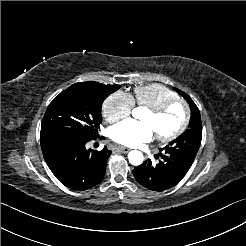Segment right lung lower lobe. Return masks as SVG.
Segmentation results:
<instances>
[{"mask_svg":"<svg viewBox=\"0 0 246 246\" xmlns=\"http://www.w3.org/2000/svg\"><path fill=\"white\" fill-rule=\"evenodd\" d=\"M90 140L51 136L40 139L44 159L65 186L84 191L103 178L111 151L86 149Z\"/></svg>","mask_w":246,"mask_h":246,"instance_id":"98d812e1","label":"right lung lower lobe"}]
</instances>
